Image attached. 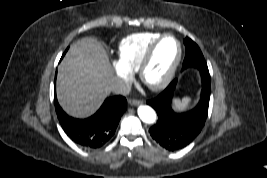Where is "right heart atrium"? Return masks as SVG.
<instances>
[{
  "label": "right heart atrium",
  "mask_w": 267,
  "mask_h": 178,
  "mask_svg": "<svg viewBox=\"0 0 267 178\" xmlns=\"http://www.w3.org/2000/svg\"><path fill=\"white\" fill-rule=\"evenodd\" d=\"M114 66L115 74L120 83L119 90L125 91L133 79V73L119 62H114Z\"/></svg>",
  "instance_id": "1"
}]
</instances>
